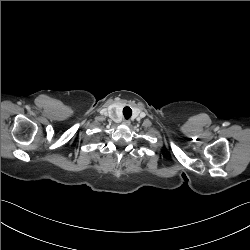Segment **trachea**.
<instances>
[{"instance_id": "obj_1", "label": "trachea", "mask_w": 250, "mask_h": 250, "mask_svg": "<svg viewBox=\"0 0 250 250\" xmlns=\"http://www.w3.org/2000/svg\"><path fill=\"white\" fill-rule=\"evenodd\" d=\"M123 115H124V117H125V119H129L130 117H131V115H132V110H131V108L130 107H124L123 108Z\"/></svg>"}]
</instances>
